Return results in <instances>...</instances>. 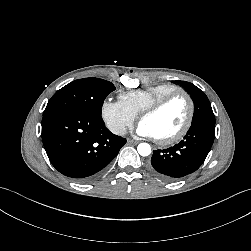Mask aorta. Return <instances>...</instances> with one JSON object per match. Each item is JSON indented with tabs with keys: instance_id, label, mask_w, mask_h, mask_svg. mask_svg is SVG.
<instances>
[{
	"instance_id": "obj_1",
	"label": "aorta",
	"mask_w": 251,
	"mask_h": 251,
	"mask_svg": "<svg viewBox=\"0 0 251 251\" xmlns=\"http://www.w3.org/2000/svg\"><path fill=\"white\" fill-rule=\"evenodd\" d=\"M137 151L141 156H149L151 153V147L148 143H140L137 147Z\"/></svg>"
}]
</instances>
